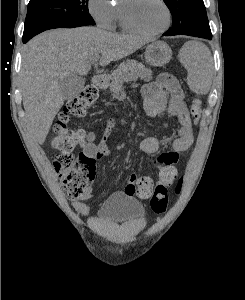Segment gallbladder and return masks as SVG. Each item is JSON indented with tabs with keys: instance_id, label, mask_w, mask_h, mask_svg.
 Returning <instances> with one entry per match:
<instances>
[{
	"instance_id": "obj_1",
	"label": "gallbladder",
	"mask_w": 245,
	"mask_h": 300,
	"mask_svg": "<svg viewBox=\"0 0 245 300\" xmlns=\"http://www.w3.org/2000/svg\"><path fill=\"white\" fill-rule=\"evenodd\" d=\"M84 84V77L74 73L59 81L61 92L67 100L78 96V94L82 91Z\"/></svg>"
}]
</instances>
